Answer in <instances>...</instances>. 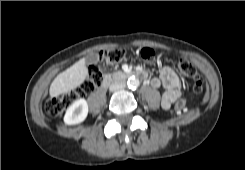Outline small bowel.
Wrapping results in <instances>:
<instances>
[{"label": "small bowel", "instance_id": "obj_1", "mask_svg": "<svg viewBox=\"0 0 245 170\" xmlns=\"http://www.w3.org/2000/svg\"><path fill=\"white\" fill-rule=\"evenodd\" d=\"M161 77L153 78L150 83L151 86L159 88L164 87L161 104L164 109H169L172 104L182 95V90L179 86L178 79L170 67L163 66L160 69Z\"/></svg>", "mask_w": 245, "mask_h": 170}]
</instances>
